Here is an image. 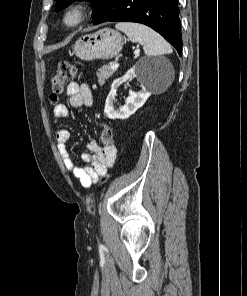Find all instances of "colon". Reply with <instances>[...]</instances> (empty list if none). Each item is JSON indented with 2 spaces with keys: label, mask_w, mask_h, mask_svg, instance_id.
I'll return each mask as SVG.
<instances>
[{
  "label": "colon",
  "mask_w": 247,
  "mask_h": 296,
  "mask_svg": "<svg viewBox=\"0 0 247 296\" xmlns=\"http://www.w3.org/2000/svg\"><path fill=\"white\" fill-rule=\"evenodd\" d=\"M77 75V68L69 62H61L58 66L56 74L51 81V99L56 101L61 97L65 91L66 84L74 79ZM114 140L113 129L107 125H102L100 141L104 147H111ZM106 180V176L102 178V181Z\"/></svg>",
  "instance_id": "5ec220e1"
}]
</instances>
